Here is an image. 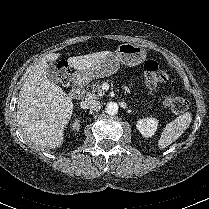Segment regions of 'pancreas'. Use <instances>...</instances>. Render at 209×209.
Wrapping results in <instances>:
<instances>
[{
    "mask_svg": "<svg viewBox=\"0 0 209 209\" xmlns=\"http://www.w3.org/2000/svg\"><path fill=\"white\" fill-rule=\"evenodd\" d=\"M103 95H104V93L101 90V86L98 83H95L92 85V91L87 92L86 99L87 100H95V99H99Z\"/></svg>",
    "mask_w": 209,
    "mask_h": 209,
    "instance_id": "pancreas-1",
    "label": "pancreas"
}]
</instances>
